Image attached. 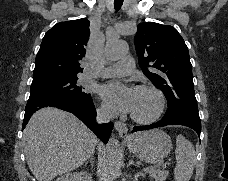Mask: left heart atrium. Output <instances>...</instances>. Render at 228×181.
Wrapping results in <instances>:
<instances>
[{"instance_id": "1", "label": "left heart atrium", "mask_w": 228, "mask_h": 181, "mask_svg": "<svg viewBox=\"0 0 228 181\" xmlns=\"http://www.w3.org/2000/svg\"><path fill=\"white\" fill-rule=\"evenodd\" d=\"M102 93L114 111L133 109V90L121 83L111 82L103 86Z\"/></svg>"}]
</instances>
